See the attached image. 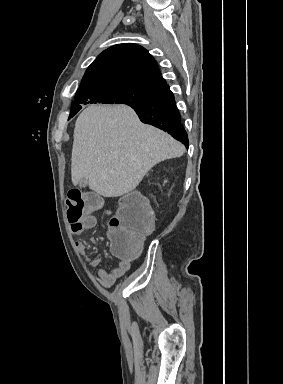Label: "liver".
<instances>
[{"label": "liver", "mask_w": 283, "mask_h": 384, "mask_svg": "<svg viewBox=\"0 0 283 384\" xmlns=\"http://www.w3.org/2000/svg\"><path fill=\"white\" fill-rule=\"evenodd\" d=\"M184 152L183 144L142 124L125 104L88 106L74 128L72 184L86 180L99 196L117 198L135 190L153 166Z\"/></svg>", "instance_id": "obj_1"}]
</instances>
